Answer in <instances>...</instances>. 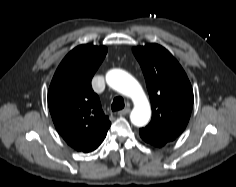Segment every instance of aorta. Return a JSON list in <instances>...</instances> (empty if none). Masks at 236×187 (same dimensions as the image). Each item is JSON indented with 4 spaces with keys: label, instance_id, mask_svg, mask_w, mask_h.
I'll use <instances>...</instances> for the list:
<instances>
[{
    "label": "aorta",
    "instance_id": "aorta-1",
    "mask_svg": "<svg viewBox=\"0 0 236 187\" xmlns=\"http://www.w3.org/2000/svg\"><path fill=\"white\" fill-rule=\"evenodd\" d=\"M106 82L112 89L133 101L131 122L139 127L146 125L151 116V109L138 81L123 70L112 69L106 74Z\"/></svg>",
    "mask_w": 236,
    "mask_h": 187
}]
</instances>
